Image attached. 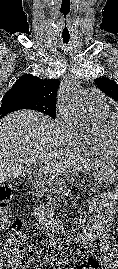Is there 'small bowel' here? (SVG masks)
Segmentation results:
<instances>
[{
	"label": "small bowel",
	"instance_id": "1",
	"mask_svg": "<svg viewBox=\"0 0 118 269\" xmlns=\"http://www.w3.org/2000/svg\"><path fill=\"white\" fill-rule=\"evenodd\" d=\"M91 211L93 217L87 224L83 235L78 238V242L86 247H100L103 252L105 265L114 269L118 267V247L110 248L108 234L110 221L115 216H118V207L115 204V200L112 199L106 201L104 205H94ZM90 264H88L87 268Z\"/></svg>",
	"mask_w": 118,
	"mask_h": 269
}]
</instances>
